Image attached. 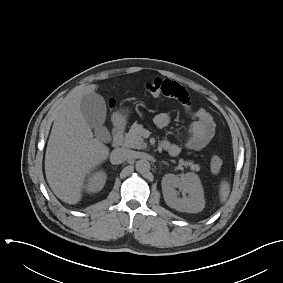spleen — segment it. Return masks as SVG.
I'll use <instances>...</instances> for the list:
<instances>
[{"instance_id":"obj_1","label":"spleen","mask_w":283,"mask_h":283,"mask_svg":"<svg viewBox=\"0 0 283 283\" xmlns=\"http://www.w3.org/2000/svg\"><path fill=\"white\" fill-rule=\"evenodd\" d=\"M229 193H230V184L226 180H223L219 187V196H220V201L222 203H224L227 200Z\"/></svg>"}]
</instances>
